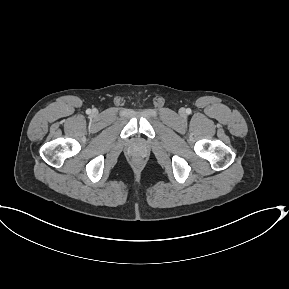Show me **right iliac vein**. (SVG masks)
I'll use <instances>...</instances> for the list:
<instances>
[{
    "instance_id": "1",
    "label": "right iliac vein",
    "mask_w": 289,
    "mask_h": 289,
    "mask_svg": "<svg viewBox=\"0 0 289 289\" xmlns=\"http://www.w3.org/2000/svg\"><path fill=\"white\" fill-rule=\"evenodd\" d=\"M96 113H97V112L94 110V111H93V114H96Z\"/></svg>"
}]
</instances>
